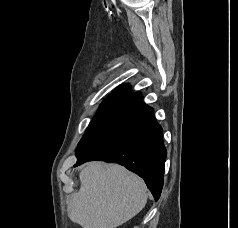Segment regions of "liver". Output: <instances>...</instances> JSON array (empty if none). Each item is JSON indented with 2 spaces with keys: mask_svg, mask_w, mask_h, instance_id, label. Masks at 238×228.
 <instances>
[{
  "mask_svg": "<svg viewBox=\"0 0 238 228\" xmlns=\"http://www.w3.org/2000/svg\"><path fill=\"white\" fill-rule=\"evenodd\" d=\"M80 189L71 195L67 212L83 228H116L146 205L144 181L120 165L87 163L79 173Z\"/></svg>",
  "mask_w": 238,
  "mask_h": 228,
  "instance_id": "6515ba94",
  "label": "liver"
}]
</instances>
